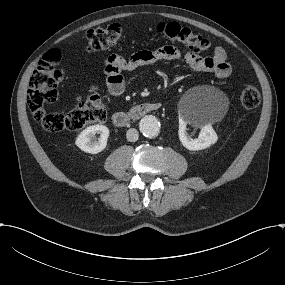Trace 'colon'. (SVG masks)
<instances>
[{
  "instance_id": "5ec220e1",
  "label": "colon",
  "mask_w": 285,
  "mask_h": 285,
  "mask_svg": "<svg viewBox=\"0 0 285 285\" xmlns=\"http://www.w3.org/2000/svg\"><path fill=\"white\" fill-rule=\"evenodd\" d=\"M156 30L164 39L182 42L194 52H203L209 48L207 39L177 22H160ZM122 35L119 24L90 29L86 33L87 49L98 51L112 48L118 44ZM60 61V51H48L30 79L27 104L34 119L51 132L80 130L89 124L102 122L106 118V105L94 88L86 100L69 110H47V105L57 100V87L64 76V70L59 66ZM240 101L246 110H252L259 106L261 94L255 86L250 85L242 90Z\"/></svg>"
}]
</instances>
